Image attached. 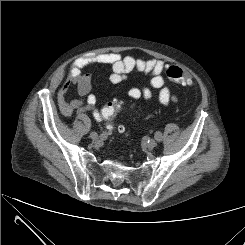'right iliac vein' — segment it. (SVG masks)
I'll list each match as a JSON object with an SVG mask.
<instances>
[{
	"instance_id": "1",
	"label": "right iliac vein",
	"mask_w": 245,
	"mask_h": 245,
	"mask_svg": "<svg viewBox=\"0 0 245 245\" xmlns=\"http://www.w3.org/2000/svg\"><path fill=\"white\" fill-rule=\"evenodd\" d=\"M90 138H91L92 140H97V139H98L97 133H96V132H91V133H90Z\"/></svg>"
}]
</instances>
